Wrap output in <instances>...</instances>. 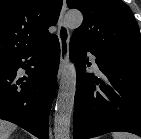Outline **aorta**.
Here are the masks:
<instances>
[{
  "label": "aorta",
  "instance_id": "1",
  "mask_svg": "<svg viewBox=\"0 0 141 139\" xmlns=\"http://www.w3.org/2000/svg\"><path fill=\"white\" fill-rule=\"evenodd\" d=\"M83 21V15L77 10L68 11L65 23L70 29L78 28ZM76 92V68L68 63L63 71L54 114V138L70 139L71 117L73 114Z\"/></svg>",
  "mask_w": 141,
  "mask_h": 139
}]
</instances>
